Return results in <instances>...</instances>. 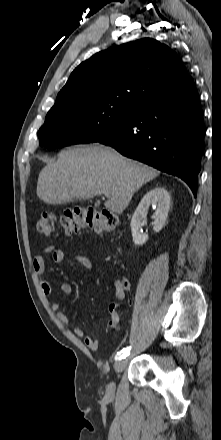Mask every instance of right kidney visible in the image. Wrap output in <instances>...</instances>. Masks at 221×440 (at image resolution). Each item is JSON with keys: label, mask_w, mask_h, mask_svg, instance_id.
Masks as SVG:
<instances>
[{"label": "right kidney", "mask_w": 221, "mask_h": 440, "mask_svg": "<svg viewBox=\"0 0 221 440\" xmlns=\"http://www.w3.org/2000/svg\"><path fill=\"white\" fill-rule=\"evenodd\" d=\"M149 206L155 210L153 230L159 232L165 225L170 207V196L164 187H155L147 192L133 214L130 226L133 242L137 245H143L148 240V236L140 234L139 229L142 220L147 216Z\"/></svg>", "instance_id": "right-kidney-1"}]
</instances>
